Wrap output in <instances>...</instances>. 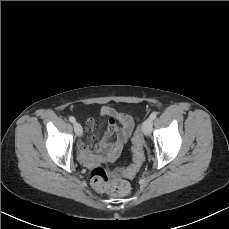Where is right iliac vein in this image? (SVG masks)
<instances>
[{
	"mask_svg": "<svg viewBox=\"0 0 229 229\" xmlns=\"http://www.w3.org/2000/svg\"><path fill=\"white\" fill-rule=\"evenodd\" d=\"M74 130H75L76 135L80 136L82 134V131H83L81 124L78 122H75L74 123Z\"/></svg>",
	"mask_w": 229,
	"mask_h": 229,
	"instance_id": "right-iliac-vein-1",
	"label": "right iliac vein"
}]
</instances>
